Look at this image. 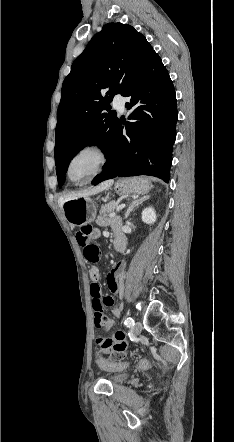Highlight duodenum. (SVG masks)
<instances>
[{"label": "duodenum", "instance_id": "410a0bca", "mask_svg": "<svg viewBox=\"0 0 234 442\" xmlns=\"http://www.w3.org/2000/svg\"><path fill=\"white\" fill-rule=\"evenodd\" d=\"M114 249L117 253H123L125 250V241L122 237L118 236L116 237L114 241Z\"/></svg>", "mask_w": 234, "mask_h": 442}]
</instances>
